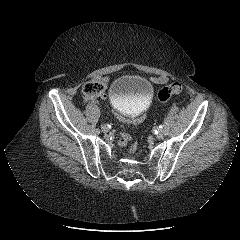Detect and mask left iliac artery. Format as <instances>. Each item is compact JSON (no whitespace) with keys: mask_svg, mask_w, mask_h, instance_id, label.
<instances>
[{"mask_svg":"<svg viewBox=\"0 0 240 240\" xmlns=\"http://www.w3.org/2000/svg\"><path fill=\"white\" fill-rule=\"evenodd\" d=\"M165 120L167 121V118H165ZM161 127H162L161 129H162V131H163V132H166V131H167V129H168V128H167L168 126H167V124H165V123H164V124H162V126H161Z\"/></svg>","mask_w":240,"mask_h":240,"instance_id":"left-iliac-artery-1","label":"left iliac artery"}]
</instances>
